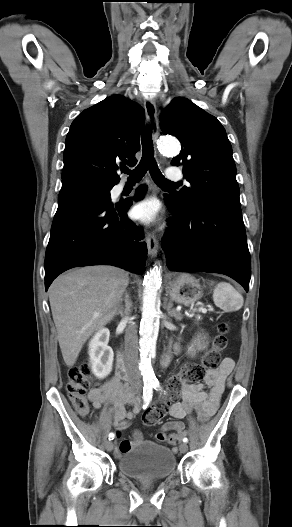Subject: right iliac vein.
Wrapping results in <instances>:
<instances>
[{"label": "right iliac vein", "mask_w": 292, "mask_h": 527, "mask_svg": "<svg viewBox=\"0 0 292 527\" xmlns=\"http://www.w3.org/2000/svg\"><path fill=\"white\" fill-rule=\"evenodd\" d=\"M105 446H106V449L108 451H112L113 450V442L112 441H107Z\"/></svg>", "instance_id": "obj_1"}]
</instances>
